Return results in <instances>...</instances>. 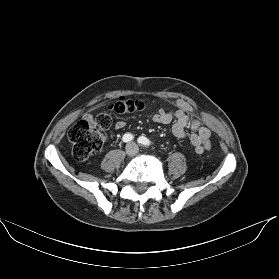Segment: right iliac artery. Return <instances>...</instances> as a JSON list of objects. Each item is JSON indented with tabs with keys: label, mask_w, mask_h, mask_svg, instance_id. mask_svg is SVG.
Listing matches in <instances>:
<instances>
[{
	"label": "right iliac artery",
	"mask_w": 279,
	"mask_h": 279,
	"mask_svg": "<svg viewBox=\"0 0 279 279\" xmlns=\"http://www.w3.org/2000/svg\"><path fill=\"white\" fill-rule=\"evenodd\" d=\"M133 135L132 134H125L124 136H123V141L124 142H130V141H132L133 140Z\"/></svg>",
	"instance_id": "82829eb1"
}]
</instances>
